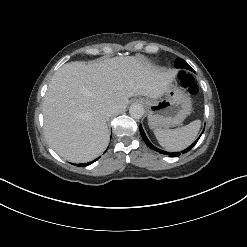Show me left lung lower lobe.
Instances as JSON below:
<instances>
[{
  "mask_svg": "<svg viewBox=\"0 0 247 247\" xmlns=\"http://www.w3.org/2000/svg\"><path fill=\"white\" fill-rule=\"evenodd\" d=\"M193 71V70H192ZM140 129V133H141V136L143 138V140L145 141V143L147 144V146L150 148V149H153L155 151H158L159 153L161 154H165V155H169L170 157H177V156H180L181 153H186L187 151H189L196 143L197 141L199 140V138L192 144L190 145L187 149L183 150L182 152H173V153H169V152H166V151H163V150H160L158 149L157 147H155L154 145H152L150 143V141L148 140L146 134L144 133V130L142 128V126L140 125L139 127ZM204 131V130H203ZM203 133V132H202Z\"/></svg>",
  "mask_w": 247,
  "mask_h": 247,
  "instance_id": "1",
  "label": "left lung lower lobe"
}]
</instances>
